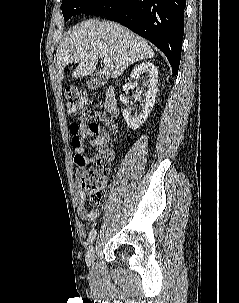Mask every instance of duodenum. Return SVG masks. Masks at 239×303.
I'll list each match as a JSON object with an SVG mask.
<instances>
[{"label":"duodenum","instance_id":"410a0bca","mask_svg":"<svg viewBox=\"0 0 239 303\" xmlns=\"http://www.w3.org/2000/svg\"><path fill=\"white\" fill-rule=\"evenodd\" d=\"M106 105L110 111L115 113L116 108V98L113 88H109L106 94Z\"/></svg>","mask_w":239,"mask_h":303}]
</instances>
